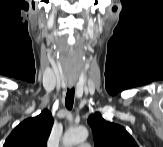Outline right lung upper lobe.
Returning a JSON list of instances; mask_svg holds the SVG:
<instances>
[{
    "label": "right lung upper lobe",
    "instance_id": "cb5924a9",
    "mask_svg": "<svg viewBox=\"0 0 163 147\" xmlns=\"http://www.w3.org/2000/svg\"><path fill=\"white\" fill-rule=\"evenodd\" d=\"M53 123L51 112L45 109L15 127L3 147H46Z\"/></svg>",
    "mask_w": 163,
    "mask_h": 147
}]
</instances>
